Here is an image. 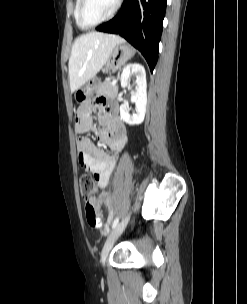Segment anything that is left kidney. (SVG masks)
Here are the masks:
<instances>
[{"label": "left kidney", "mask_w": 247, "mask_h": 304, "mask_svg": "<svg viewBox=\"0 0 247 304\" xmlns=\"http://www.w3.org/2000/svg\"><path fill=\"white\" fill-rule=\"evenodd\" d=\"M134 73L137 74L136 87L135 91L131 92V101L135 103L136 113L130 115L129 107L125 103L120 106L121 118L129 125H138L143 122L147 104L146 72L141 64L132 63L123 69L121 74V86H128L129 78Z\"/></svg>", "instance_id": "left-kidney-1"}]
</instances>
